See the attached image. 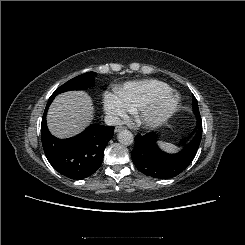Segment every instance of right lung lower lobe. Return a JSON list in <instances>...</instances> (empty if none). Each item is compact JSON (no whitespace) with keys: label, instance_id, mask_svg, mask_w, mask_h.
<instances>
[{"label":"right lung lower lobe","instance_id":"obj_1","mask_svg":"<svg viewBox=\"0 0 245 245\" xmlns=\"http://www.w3.org/2000/svg\"><path fill=\"white\" fill-rule=\"evenodd\" d=\"M53 99L50 97L41 123V139L45 155L60 174L70 179H84L100 167L104 149L113 137L114 127L95 124L77 136L58 139L50 134L46 125V114Z\"/></svg>","mask_w":245,"mask_h":245}]
</instances>
